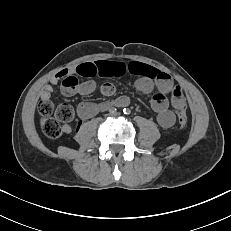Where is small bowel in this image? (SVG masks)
Instances as JSON below:
<instances>
[{
	"label": "small bowel",
	"mask_w": 231,
	"mask_h": 231,
	"mask_svg": "<svg viewBox=\"0 0 231 231\" xmlns=\"http://www.w3.org/2000/svg\"><path fill=\"white\" fill-rule=\"evenodd\" d=\"M74 73L87 79L77 89L80 95H89L95 90L94 78L96 77L122 76L126 73L135 75L137 77L135 87L141 93L148 94L156 88L152 96L151 107L157 114L158 124L165 129L172 127L176 121V115L170 109V105L177 109L185 101L180 87L173 82L169 74L138 61H131L127 64L120 61H94L82 63L74 69L62 70L44 86L41 99H50L59 81ZM101 92L110 96L115 92V88L107 82L101 86ZM128 102L129 99L126 96H121L116 100L119 106H124ZM104 108L103 104L82 102L77 107V114L81 119H89ZM63 130L69 133L71 127L64 125Z\"/></svg>",
	"instance_id": "1"
}]
</instances>
